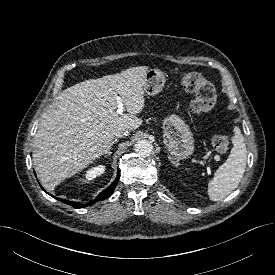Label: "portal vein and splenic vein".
<instances>
[{"instance_id":"obj_1","label":"portal vein and splenic vein","mask_w":275,"mask_h":275,"mask_svg":"<svg viewBox=\"0 0 275 275\" xmlns=\"http://www.w3.org/2000/svg\"><path fill=\"white\" fill-rule=\"evenodd\" d=\"M116 101H117V104H118L116 113L121 115L124 112V105H123V102H122V98L120 96H117Z\"/></svg>"}]
</instances>
